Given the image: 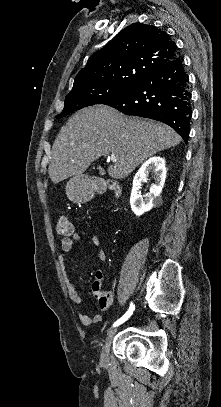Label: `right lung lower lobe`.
<instances>
[{"label": "right lung lower lobe", "mask_w": 221, "mask_h": 407, "mask_svg": "<svg viewBox=\"0 0 221 407\" xmlns=\"http://www.w3.org/2000/svg\"><path fill=\"white\" fill-rule=\"evenodd\" d=\"M188 80L183 59L177 53L127 93L104 104L126 115L161 121L187 143L192 115Z\"/></svg>", "instance_id": "1"}]
</instances>
